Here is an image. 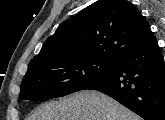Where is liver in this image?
<instances>
[{
	"instance_id": "6515ba94",
	"label": "liver",
	"mask_w": 165,
	"mask_h": 120,
	"mask_svg": "<svg viewBox=\"0 0 165 120\" xmlns=\"http://www.w3.org/2000/svg\"><path fill=\"white\" fill-rule=\"evenodd\" d=\"M28 120H140V117L113 98L86 90L42 104Z\"/></svg>"
}]
</instances>
